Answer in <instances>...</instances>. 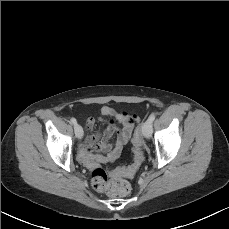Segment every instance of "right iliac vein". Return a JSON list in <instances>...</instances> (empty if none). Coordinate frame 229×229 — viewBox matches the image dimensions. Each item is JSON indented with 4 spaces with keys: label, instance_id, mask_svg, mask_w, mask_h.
Here are the masks:
<instances>
[{
    "label": "right iliac vein",
    "instance_id": "63e3f726",
    "mask_svg": "<svg viewBox=\"0 0 229 229\" xmlns=\"http://www.w3.org/2000/svg\"><path fill=\"white\" fill-rule=\"evenodd\" d=\"M75 135L78 139H81L83 136V129L80 125L76 124L74 127Z\"/></svg>",
    "mask_w": 229,
    "mask_h": 229
}]
</instances>
